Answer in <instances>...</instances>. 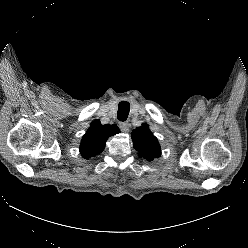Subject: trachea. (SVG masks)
Masks as SVG:
<instances>
[{"mask_svg": "<svg viewBox=\"0 0 248 248\" xmlns=\"http://www.w3.org/2000/svg\"><path fill=\"white\" fill-rule=\"evenodd\" d=\"M130 111V104L126 101L119 103L117 117L120 121H125Z\"/></svg>", "mask_w": 248, "mask_h": 248, "instance_id": "3493384b", "label": "trachea"}]
</instances>
